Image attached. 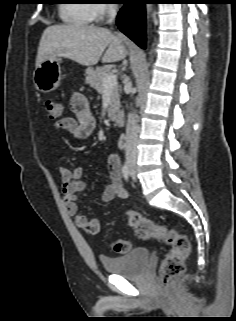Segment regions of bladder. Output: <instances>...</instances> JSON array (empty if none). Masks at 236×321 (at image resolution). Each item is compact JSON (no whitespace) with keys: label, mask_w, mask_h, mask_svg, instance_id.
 Masks as SVG:
<instances>
[{"label":"bladder","mask_w":236,"mask_h":321,"mask_svg":"<svg viewBox=\"0 0 236 321\" xmlns=\"http://www.w3.org/2000/svg\"><path fill=\"white\" fill-rule=\"evenodd\" d=\"M149 256L147 247H137L121 256L101 257L100 261L109 273L126 278H136L142 275Z\"/></svg>","instance_id":"31cf9c89"}]
</instances>
